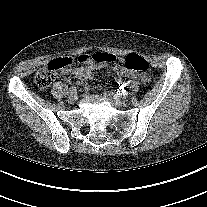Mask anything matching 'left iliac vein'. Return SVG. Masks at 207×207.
Here are the masks:
<instances>
[{"label":"left iliac vein","instance_id":"left-iliac-vein-1","mask_svg":"<svg viewBox=\"0 0 207 207\" xmlns=\"http://www.w3.org/2000/svg\"><path fill=\"white\" fill-rule=\"evenodd\" d=\"M104 97L114 106V107H121L126 104V100L122 99L121 97L113 94H105Z\"/></svg>","mask_w":207,"mask_h":207}]
</instances>
